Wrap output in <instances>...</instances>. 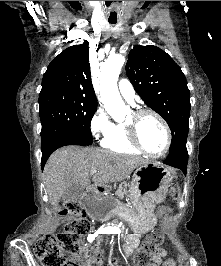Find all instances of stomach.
Here are the masks:
<instances>
[{
  "mask_svg": "<svg viewBox=\"0 0 221 266\" xmlns=\"http://www.w3.org/2000/svg\"><path fill=\"white\" fill-rule=\"evenodd\" d=\"M173 179V171L160 162H151L137 167L128 192L132 218L139 228H149L156 221L154 208L163 201Z\"/></svg>",
  "mask_w": 221,
  "mask_h": 266,
  "instance_id": "obj_1",
  "label": "stomach"
}]
</instances>
